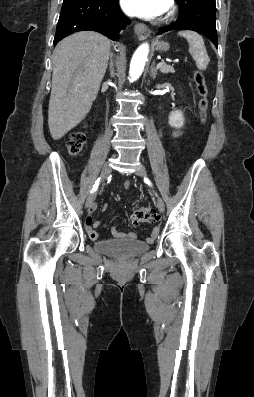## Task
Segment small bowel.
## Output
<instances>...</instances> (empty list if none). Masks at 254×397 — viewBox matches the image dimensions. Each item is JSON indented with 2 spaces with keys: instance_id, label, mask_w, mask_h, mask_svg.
Masks as SVG:
<instances>
[{
  "instance_id": "1",
  "label": "small bowel",
  "mask_w": 254,
  "mask_h": 397,
  "mask_svg": "<svg viewBox=\"0 0 254 397\" xmlns=\"http://www.w3.org/2000/svg\"><path fill=\"white\" fill-rule=\"evenodd\" d=\"M181 134V132H174V136H179ZM125 188L128 189L129 188V182L125 183ZM96 210V205L93 204L90 206L89 210H88V215L86 217L85 220V227H86V231L90 237V239L92 240H98L99 239V235L96 231V228L100 225V221L99 220H95L93 221L92 219V214L95 212ZM104 211L107 210V206H104L103 208ZM112 233L116 238H135V234L132 232H119L115 227H113L112 229ZM158 234V228H155L153 230V233L151 235V237L147 238L148 241L153 240Z\"/></svg>"
}]
</instances>
